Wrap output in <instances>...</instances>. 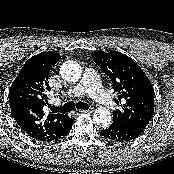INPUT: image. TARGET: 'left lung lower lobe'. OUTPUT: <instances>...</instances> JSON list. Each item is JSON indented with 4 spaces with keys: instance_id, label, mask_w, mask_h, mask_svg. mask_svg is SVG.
<instances>
[{
    "instance_id": "1",
    "label": "left lung lower lobe",
    "mask_w": 174,
    "mask_h": 174,
    "mask_svg": "<svg viewBox=\"0 0 174 174\" xmlns=\"http://www.w3.org/2000/svg\"><path fill=\"white\" fill-rule=\"evenodd\" d=\"M141 134L142 132L128 126H124L118 122H113L109 127L100 131V135L104 138L117 142L133 140Z\"/></svg>"
}]
</instances>
